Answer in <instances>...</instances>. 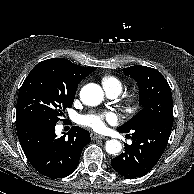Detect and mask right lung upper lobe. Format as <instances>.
I'll use <instances>...</instances> for the list:
<instances>
[{
  "instance_id": "right-lung-upper-lobe-1",
  "label": "right lung upper lobe",
  "mask_w": 194,
  "mask_h": 194,
  "mask_svg": "<svg viewBox=\"0 0 194 194\" xmlns=\"http://www.w3.org/2000/svg\"><path fill=\"white\" fill-rule=\"evenodd\" d=\"M51 65L67 82L78 87L80 81L92 73L96 67H82L64 58H52L40 62Z\"/></svg>"
}]
</instances>
